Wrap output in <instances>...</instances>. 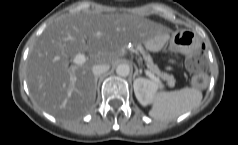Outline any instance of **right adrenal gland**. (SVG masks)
I'll return each instance as SVG.
<instances>
[{
	"instance_id": "obj_1",
	"label": "right adrenal gland",
	"mask_w": 238,
	"mask_h": 145,
	"mask_svg": "<svg viewBox=\"0 0 238 145\" xmlns=\"http://www.w3.org/2000/svg\"><path fill=\"white\" fill-rule=\"evenodd\" d=\"M98 78H99V77H96V78H95V86H97Z\"/></svg>"
}]
</instances>
